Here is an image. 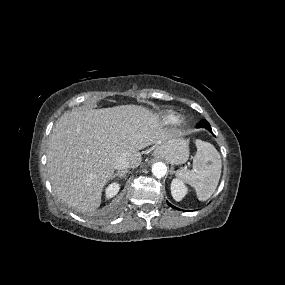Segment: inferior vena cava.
<instances>
[{"label":"inferior vena cava","mask_w":285,"mask_h":285,"mask_svg":"<svg viewBox=\"0 0 285 285\" xmlns=\"http://www.w3.org/2000/svg\"><path fill=\"white\" fill-rule=\"evenodd\" d=\"M131 167L130 162L123 157H118L114 161V168L118 171L126 170L127 168Z\"/></svg>","instance_id":"602c4592"}]
</instances>
